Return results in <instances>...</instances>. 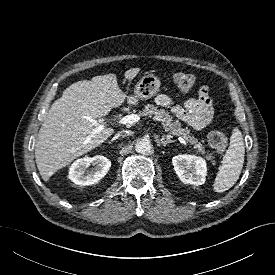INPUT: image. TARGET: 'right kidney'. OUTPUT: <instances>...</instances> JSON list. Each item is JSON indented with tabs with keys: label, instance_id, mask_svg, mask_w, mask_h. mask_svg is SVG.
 <instances>
[{
	"label": "right kidney",
	"instance_id": "1",
	"mask_svg": "<svg viewBox=\"0 0 275 275\" xmlns=\"http://www.w3.org/2000/svg\"><path fill=\"white\" fill-rule=\"evenodd\" d=\"M94 167L88 170L87 168ZM111 167V161L104 156L84 157L77 159L69 168V179L77 185L87 186L97 183L102 179Z\"/></svg>",
	"mask_w": 275,
	"mask_h": 275
}]
</instances>
